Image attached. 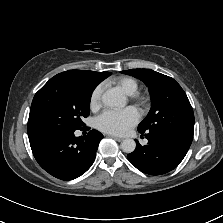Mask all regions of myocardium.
Wrapping results in <instances>:
<instances>
[{
  "mask_svg": "<svg viewBox=\"0 0 223 223\" xmlns=\"http://www.w3.org/2000/svg\"><path fill=\"white\" fill-rule=\"evenodd\" d=\"M136 100H137V102H138L140 105H145V104H146V99H145V98H137Z\"/></svg>",
  "mask_w": 223,
  "mask_h": 223,
  "instance_id": "1",
  "label": "myocardium"
}]
</instances>
